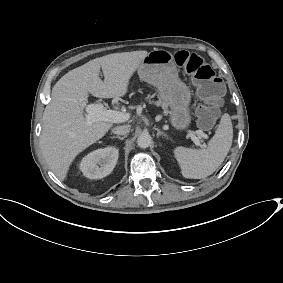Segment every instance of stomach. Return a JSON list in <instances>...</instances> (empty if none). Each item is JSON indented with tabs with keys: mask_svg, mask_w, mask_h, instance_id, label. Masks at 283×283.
Masks as SVG:
<instances>
[{
	"mask_svg": "<svg viewBox=\"0 0 283 283\" xmlns=\"http://www.w3.org/2000/svg\"><path fill=\"white\" fill-rule=\"evenodd\" d=\"M141 80L158 90L160 101L169 108L168 121L176 132H184L192 123V91L179 77L174 56L165 49H155L138 67Z\"/></svg>",
	"mask_w": 283,
	"mask_h": 283,
	"instance_id": "stomach-1",
	"label": "stomach"
}]
</instances>
